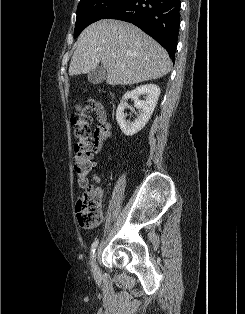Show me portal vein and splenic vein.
Here are the masks:
<instances>
[{"mask_svg": "<svg viewBox=\"0 0 245 314\" xmlns=\"http://www.w3.org/2000/svg\"><path fill=\"white\" fill-rule=\"evenodd\" d=\"M112 56H113V57H116V54H113Z\"/></svg>", "mask_w": 245, "mask_h": 314, "instance_id": "1", "label": "portal vein and splenic vein"}]
</instances>
